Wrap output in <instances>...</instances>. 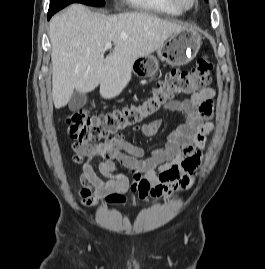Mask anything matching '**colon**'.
<instances>
[{
    "instance_id": "colon-1",
    "label": "colon",
    "mask_w": 265,
    "mask_h": 269,
    "mask_svg": "<svg viewBox=\"0 0 265 269\" xmlns=\"http://www.w3.org/2000/svg\"><path fill=\"white\" fill-rule=\"evenodd\" d=\"M212 70L213 64L210 59L202 56L191 70L170 71L139 104L94 116L85 111L73 112L67 117L69 134L71 138L81 143L116 138L123 131L139 126L159 113L176 96L193 95L208 88ZM162 191L161 187L149 188V192L153 195Z\"/></svg>"
}]
</instances>
